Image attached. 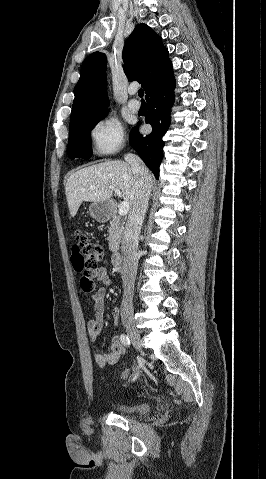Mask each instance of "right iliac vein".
<instances>
[{
	"label": "right iliac vein",
	"instance_id": "obj_1",
	"mask_svg": "<svg viewBox=\"0 0 266 479\" xmlns=\"http://www.w3.org/2000/svg\"><path fill=\"white\" fill-rule=\"evenodd\" d=\"M126 332L130 338L132 344L142 352V341L140 334L133 323H126L125 325Z\"/></svg>",
	"mask_w": 266,
	"mask_h": 479
}]
</instances>
